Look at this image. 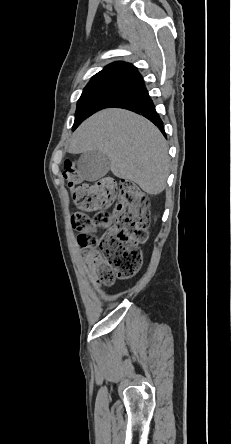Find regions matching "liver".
Instances as JSON below:
<instances>
[{
	"label": "liver",
	"instance_id": "1",
	"mask_svg": "<svg viewBox=\"0 0 231 444\" xmlns=\"http://www.w3.org/2000/svg\"><path fill=\"white\" fill-rule=\"evenodd\" d=\"M99 151L114 176L134 182L150 195L161 193L169 175L168 145L146 118L125 109L101 110L85 120L68 145L72 154Z\"/></svg>",
	"mask_w": 231,
	"mask_h": 444
}]
</instances>
